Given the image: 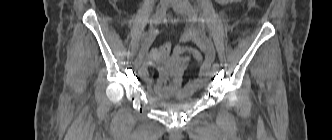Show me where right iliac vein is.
<instances>
[{
  "label": "right iliac vein",
  "instance_id": "63e3f726",
  "mask_svg": "<svg viewBox=\"0 0 332 140\" xmlns=\"http://www.w3.org/2000/svg\"><path fill=\"white\" fill-rule=\"evenodd\" d=\"M170 0H160V6L161 8H164L166 7L168 4H169ZM144 57H145V54L142 50L139 51V54L135 60V66L136 67H140L141 64L143 63L144 61Z\"/></svg>",
  "mask_w": 332,
  "mask_h": 140
}]
</instances>
